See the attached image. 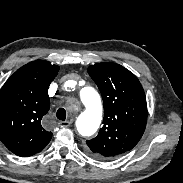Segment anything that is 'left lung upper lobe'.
Returning a JSON list of instances; mask_svg holds the SVG:
<instances>
[{
	"label": "left lung upper lobe",
	"mask_w": 183,
	"mask_h": 183,
	"mask_svg": "<svg viewBox=\"0 0 183 183\" xmlns=\"http://www.w3.org/2000/svg\"><path fill=\"white\" fill-rule=\"evenodd\" d=\"M104 104L103 127L87 140V151L96 158L112 159L130 151L140 140L147 122L144 90L137 77L115 63L88 68Z\"/></svg>",
	"instance_id": "left-lung-upper-lobe-1"
}]
</instances>
